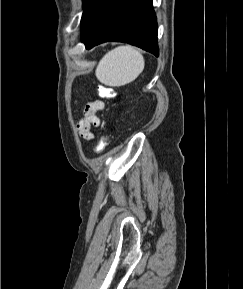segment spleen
<instances>
[{
  "instance_id": "3e777b00",
  "label": "spleen",
  "mask_w": 243,
  "mask_h": 289,
  "mask_svg": "<svg viewBox=\"0 0 243 289\" xmlns=\"http://www.w3.org/2000/svg\"><path fill=\"white\" fill-rule=\"evenodd\" d=\"M143 55L131 46H119L104 55L95 75L107 86H122L135 80L143 71Z\"/></svg>"
}]
</instances>
